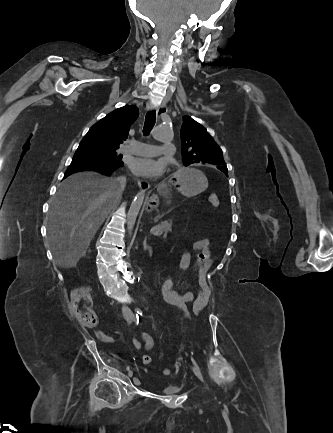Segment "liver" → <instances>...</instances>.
Segmentation results:
<instances>
[{
    "label": "liver",
    "mask_w": 333,
    "mask_h": 433,
    "mask_svg": "<svg viewBox=\"0 0 333 433\" xmlns=\"http://www.w3.org/2000/svg\"><path fill=\"white\" fill-rule=\"evenodd\" d=\"M160 189L169 192L171 186L162 183ZM120 196L115 178L93 171L75 173L59 185L47 216L48 242L57 266L76 267Z\"/></svg>",
    "instance_id": "liver-1"
}]
</instances>
